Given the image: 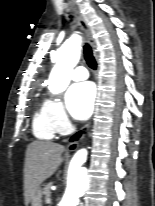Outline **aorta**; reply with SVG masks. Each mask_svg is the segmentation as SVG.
<instances>
[{
	"mask_svg": "<svg viewBox=\"0 0 155 206\" xmlns=\"http://www.w3.org/2000/svg\"><path fill=\"white\" fill-rule=\"evenodd\" d=\"M80 52L81 38L78 35H72L61 46L57 63L48 80L50 92L58 94L68 87L73 68L79 61ZM87 154L86 149H80L73 156L69 165L66 189L58 206H78L80 197L88 189L87 169L84 167Z\"/></svg>",
	"mask_w": 155,
	"mask_h": 206,
	"instance_id": "762f6f07",
	"label": "aorta"
}]
</instances>
